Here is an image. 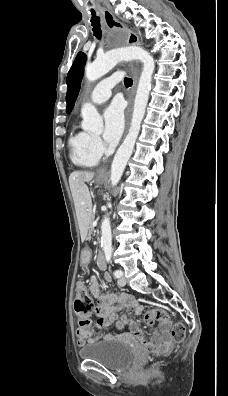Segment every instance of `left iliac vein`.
I'll return each mask as SVG.
<instances>
[{
    "label": "left iliac vein",
    "mask_w": 228,
    "mask_h": 396,
    "mask_svg": "<svg viewBox=\"0 0 228 396\" xmlns=\"http://www.w3.org/2000/svg\"><path fill=\"white\" fill-rule=\"evenodd\" d=\"M118 285L121 287L126 285V279L124 278L123 273L122 276L118 279Z\"/></svg>",
    "instance_id": "left-iliac-vein-1"
}]
</instances>
